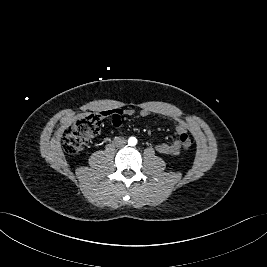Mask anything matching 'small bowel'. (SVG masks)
<instances>
[{"mask_svg":"<svg viewBox=\"0 0 267 267\" xmlns=\"http://www.w3.org/2000/svg\"><path fill=\"white\" fill-rule=\"evenodd\" d=\"M151 111L148 109H142L139 112V115L141 117H147L151 115ZM103 116H111L112 121L115 127L120 128L122 126L121 122V116L126 115V116H132L135 114V111L133 109H126V110H120V109H115V110H110V111H104L100 113ZM187 125L185 122L178 120L175 124V131L179 136L182 134L187 133ZM182 144L180 139L174 140L171 143H159L156 146V149L159 153L164 154V155H177L179 154L181 150Z\"/></svg>","mask_w":267,"mask_h":267,"instance_id":"1","label":"small bowel"}]
</instances>
